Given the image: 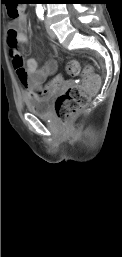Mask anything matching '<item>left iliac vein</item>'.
Returning <instances> with one entry per match:
<instances>
[{"instance_id": "left-iliac-vein-1", "label": "left iliac vein", "mask_w": 122, "mask_h": 257, "mask_svg": "<svg viewBox=\"0 0 122 257\" xmlns=\"http://www.w3.org/2000/svg\"><path fill=\"white\" fill-rule=\"evenodd\" d=\"M45 24H46L48 36H49L51 39H54V38H55V33H54V31L51 29L50 23H49L48 19L45 20Z\"/></svg>"}]
</instances>
